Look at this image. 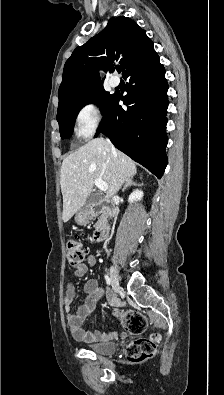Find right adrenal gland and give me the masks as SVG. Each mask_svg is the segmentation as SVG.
<instances>
[{
	"instance_id": "1",
	"label": "right adrenal gland",
	"mask_w": 224,
	"mask_h": 395,
	"mask_svg": "<svg viewBox=\"0 0 224 395\" xmlns=\"http://www.w3.org/2000/svg\"><path fill=\"white\" fill-rule=\"evenodd\" d=\"M132 185H136V183L133 181V179L127 180L125 185H124V187H123V189H122V192H124L127 187L132 186Z\"/></svg>"
}]
</instances>
